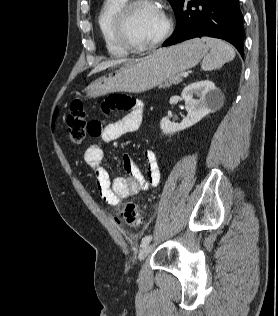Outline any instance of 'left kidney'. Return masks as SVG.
Here are the masks:
<instances>
[{
  "label": "left kidney",
  "instance_id": "5707ae66",
  "mask_svg": "<svg viewBox=\"0 0 278 316\" xmlns=\"http://www.w3.org/2000/svg\"><path fill=\"white\" fill-rule=\"evenodd\" d=\"M193 95L199 99H194ZM181 96L185 101L187 116L179 124L172 123L169 118L163 117L160 128L164 134H173L199 122L217 108L221 99V92L212 81L203 80L185 87Z\"/></svg>",
  "mask_w": 278,
  "mask_h": 316
}]
</instances>
